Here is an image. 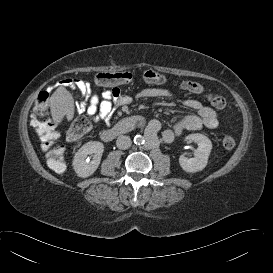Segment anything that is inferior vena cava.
<instances>
[{
	"instance_id": "inferior-vena-cava-1",
	"label": "inferior vena cava",
	"mask_w": 273,
	"mask_h": 273,
	"mask_svg": "<svg viewBox=\"0 0 273 273\" xmlns=\"http://www.w3.org/2000/svg\"><path fill=\"white\" fill-rule=\"evenodd\" d=\"M131 143L130 137L126 135H120L116 141L117 147L121 150L128 149L131 146Z\"/></svg>"
}]
</instances>
